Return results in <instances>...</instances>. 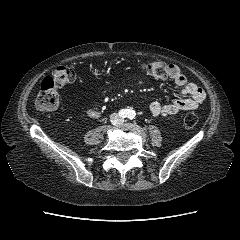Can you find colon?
I'll use <instances>...</instances> for the list:
<instances>
[{
	"mask_svg": "<svg viewBox=\"0 0 240 240\" xmlns=\"http://www.w3.org/2000/svg\"><path fill=\"white\" fill-rule=\"evenodd\" d=\"M168 68V64L160 60L142 65V69L155 79H165L168 76ZM76 78L77 74L73 68L65 65L56 67L51 75L43 79L35 100V108L39 112L54 110L59 103L58 90L70 85ZM197 122L198 116L195 113H187L182 119L187 128L194 127Z\"/></svg>",
	"mask_w": 240,
	"mask_h": 240,
	"instance_id": "obj_1",
	"label": "colon"
}]
</instances>
